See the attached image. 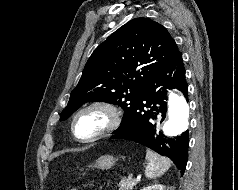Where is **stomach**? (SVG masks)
Listing matches in <instances>:
<instances>
[{"label": "stomach", "mask_w": 238, "mask_h": 190, "mask_svg": "<svg viewBox=\"0 0 238 190\" xmlns=\"http://www.w3.org/2000/svg\"><path fill=\"white\" fill-rule=\"evenodd\" d=\"M117 160H118V158H116L114 156L103 155L96 160L94 167L101 169V170H108L115 165Z\"/></svg>", "instance_id": "stomach-1"}]
</instances>
